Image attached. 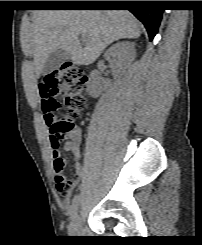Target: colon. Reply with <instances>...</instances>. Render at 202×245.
Returning a JSON list of instances; mask_svg holds the SVG:
<instances>
[{
	"label": "colon",
	"mask_w": 202,
	"mask_h": 245,
	"mask_svg": "<svg viewBox=\"0 0 202 245\" xmlns=\"http://www.w3.org/2000/svg\"><path fill=\"white\" fill-rule=\"evenodd\" d=\"M87 81L88 77L82 69L70 64H64L44 75L42 84L60 99V103L56 105L41 100L52 147H60L63 133L73 127L72 120L81 115L86 107L84 91ZM59 105H63L66 110V115L63 118H58L54 112Z\"/></svg>",
	"instance_id": "5ec220e1"
}]
</instances>
